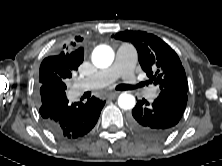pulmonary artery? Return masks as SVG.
I'll return each instance as SVG.
<instances>
[{
  "instance_id": "1",
  "label": "pulmonary artery",
  "mask_w": 222,
  "mask_h": 166,
  "mask_svg": "<svg viewBox=\"0 0 222 166\" xmlns=\"http://www.w3.org/2000/svg\"><path fill=\"white\" fill-rule=\"evenodd\" d=\"M137 60L136 51L129 45H122L116 53L114 64L108 69L98 72L93 77L87 78L85 81L91 88H102L115 82L118 78H122L127 84L134 85L137 79L134 75V66ZM85 90L83 83L75 88V94H81ZM155 88L148 87L145 90V96L148 99L155 97Z\"/></svg>"
}]
</instances>
